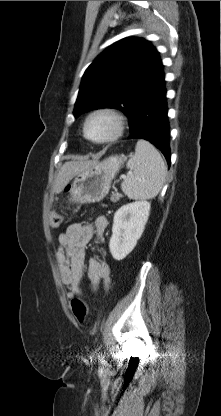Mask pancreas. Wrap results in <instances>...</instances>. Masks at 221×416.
<instances>
[{
	"label": "pancreas",
	"instance_id": "pancreas-1",
	"mask_svg": "<svg viewBox=\"0 0 221 416\" xmlns=\"http://www.w3.org/2000/svg\"><path fill=\"white\" fill-rule=\"evenodd\" d=\"M121 198H122V194H120V193H115V194H113V195L111 196L110 200H111L113 203H116V202H118Z\"/></svg>",
	"mask_w": 221,
	"mask_h": 416
}]
</instances>
